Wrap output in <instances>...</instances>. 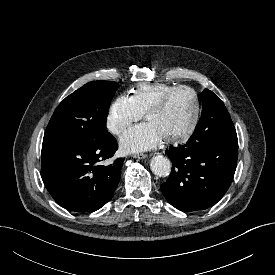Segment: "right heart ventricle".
I'll list each match as a JSON object with an SVG mask.
<instances>
[{"label":"right heart ventricle","mask_w":275,"mask_h":275,"mask_svg":"<svg viewBox=\"0 0 275 275\" xmlns=\"http://www.w3.org/2000/svg\"><path fill=\"white\" fill-rule=\"evenodd\" d=\"M174 87L167 83H140L131 90V98L137 109L144 114L167 90Z\"/></svg>","instance_id":"1"}]
</instances>
